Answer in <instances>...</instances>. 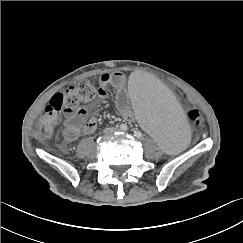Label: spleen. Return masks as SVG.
Wrapping results in <instances>:
<instances>
[{
	"mask_svg": "<svg viewBox=\"0 0 243 243\" xmlns=\"http://www.w3.org/2000/svg\"><path fill=\"white\" fill-rule=\"evenodd\" d=\"M128 95L137 127L161 151L176 153L188 144L191 128L179 100L155 74H136L129 82Z\"/></svg>",
	"mask_w": 243,
	"mask_h": 243,
	"instance_id": "1",
	"label": "spleen"
}]
</instances>
